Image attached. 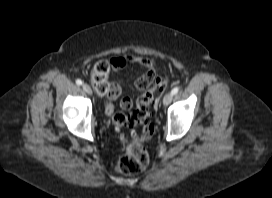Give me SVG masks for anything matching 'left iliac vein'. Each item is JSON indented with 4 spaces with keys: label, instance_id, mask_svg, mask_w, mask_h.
Segmentation results:
<instances>
[{
    "label": "left iliac vein",
    "instance_id": "4c4485c4",
    "mask_svg": "<svg viewBox=\"0 0 272 198\" xmlns=\"http://www.w3.org/2000/svg\"><path fill=\"white\" fill-rule=\"evenodd\" d=\"M173 98V94L172 93H167L164 98H163V105L164 106H168Z\"/></svg>",
    "mask_w": 272,
    "mask_h": 198
}]
</instances>
